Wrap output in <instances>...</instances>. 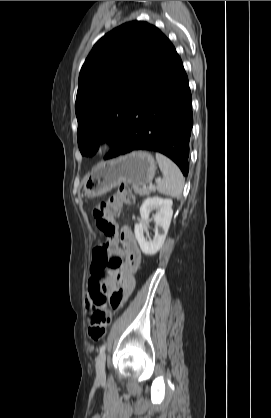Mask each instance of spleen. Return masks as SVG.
<instances>
[{"label": "spleen", "mask_w": 271, "mask_h": 418, "mask_svg": "<svg viewBox=\"0 0 271 418\" xmlns=\"http://www.w3.org/2000/svg\"><path fill=\"white\" fill-rule=\"evenodd\" d=\"M156 159L163 179L158 182L157 190L171 197L180 198L184 187V177L178 166L166 156L156 153Z\"/></svg>", "instance_id": "obj_1"}]
</instances>
